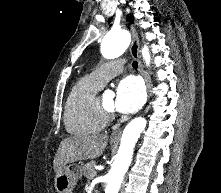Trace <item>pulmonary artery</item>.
I'll use <instances>...</instances> for the list:
<instances>
[{"instance_id": "pulmonary-artery-1", "label": "pulmonary artery", "mask_w": 221, "mask_h": 193, "mask_svg": "<svg viewBox=\"0 0 221 193\" xmlns=\"http://www.w3.org/2000/svg\"><path fill=\"white\" fill-rule=\"evenodd\" d=\"M125 60H115L103 66L95 68L90 77L99 85L103 86L106 81L121 73L124 69Z\"/></svg>"}]
</instances>
